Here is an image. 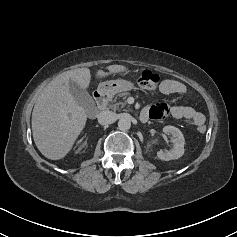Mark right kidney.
<instances>
[{"instance_id": "right-kidney-1", "label": "right kidney", "mask_w": 237, "mask_h": 237, "mask_svg": "<svg viewBox=\"0 0 237 237\" xmlns=\"http://www.w3.org/2000/svg\"><path fill=\"white\" fill-rule=\"evenodd\" d=\"M85 145H86V142L81 146V148H83ZM81 148H79V150H80Z\"/></svg>"}]
</instances>
